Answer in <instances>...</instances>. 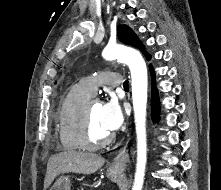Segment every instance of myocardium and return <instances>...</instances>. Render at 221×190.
I'll list each match as a JSON object with an SVG mask.
<instances>
[{
	"label": "myocardium",
	"mask_w": 221,
	"mask_h": 190,
	"mask_svg": "<svg viewBox=\"0 0 221 190\" xmlns=\"http://www.w3.org/2000/svg\"><path fill=\"white\" fill-rule=\"evenodd\" d=\"M97 100H88L83 109L82 113V124H81V135L82 140L86 148L88 149H100L109 145L113 139L114 135L109 134L103 139H95L92 134V124H91V106Z\"/></svg>",
	"instance_id": "obj_1"
}]
</instances>
